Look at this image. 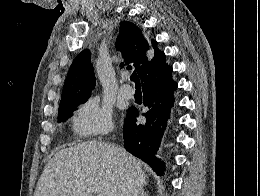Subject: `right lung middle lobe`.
Returning <instances> with one entry per match:
<instances>
[{"label": "right lung middle lobe", "instance_id": "right-lung-middle-lobe-1", "mask_svg": "<svg viewBox=\"0 0 260 196\" xmlns=\"http://www.w3.org/2000/svg\"><path fill=\"white\" fill-rule=\"evenodd\" d=\"M88 97L73 101L72 103L67 105L65 108L59 110L58 111V122L66 121L71 116L73 110H75L79 104L85 102L88 99Z\"/></svg>", "mask_w": 260, "mask_h": 196}]
</instances>
